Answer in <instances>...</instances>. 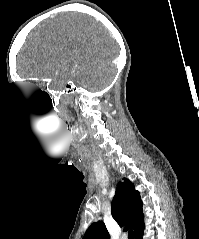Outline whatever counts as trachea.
Listing matches in <instances>:
<instances>
[{"mask_svg": "<svg viewBox=\"0 0 199 239\" xmlns=\"http://www.w3.org/2000/svg\"><path fill=\"white\" fill-rule=\"evenodd\" d=\"M128 237H129V239H133V231L130 230L128 232Z\"/></svg>", "mask_w": 199, "mask_h": 239, "instance_id": "1", "label": "trachea"}]
</instances>
